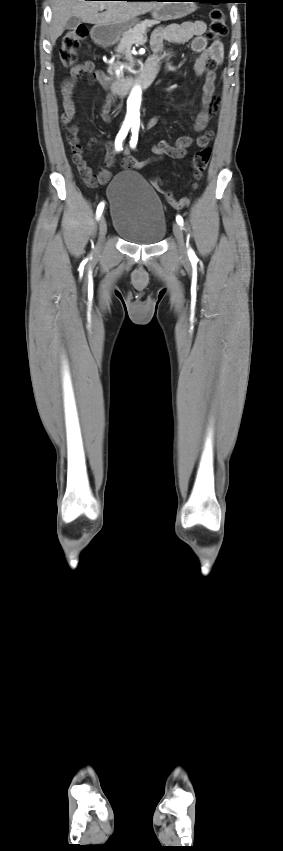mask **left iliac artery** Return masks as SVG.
Masks as SVG:
<instances>
[{
  "mask_svg": "<svg viewBox=\"0 0 283 851\" xmlns=\"http://www.w3.org/2000/svg\"><path fill=\"white\" fill-rule=\"evenodd\" d=\"M131 131H132V136H131V140H130V146L132 148H135L137 141H138L139 124H137V123L133 124ZM176 221L179 225L183 226V218L180 215H177ZM188 254H189L190 258L195 257L194 252L191 249L189 250Z\"/></svg>",
  "mask_w": 283,
  "mask_h": 851,
  "instance_id": "obj_1",
  "label": "left iliac artery"
}]
</instances>
